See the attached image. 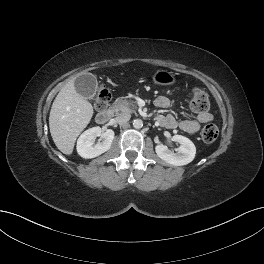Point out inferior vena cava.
Returning a JSON list of instances; mask_svg holds the SVG:
<instances>
[{
	"label": "inferior vena cava",
	"instance_id": "602c4592",
	"mask_svg": "<svg viewBox=\"0 0 264 264\" xmlns=\"http://www.w3.org/2000/svg\"><path fill=\"white\" fill-rule=\"evenodd\" d=\"M129 120H130L129 114H122L114 119V121L118 123L119 125H123L127 123Z\"/></svg>",
	"mask_w": 264,
	"mask_h": 264
}]
</instances>
